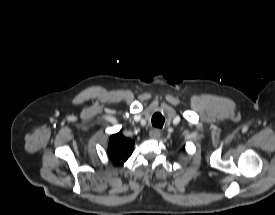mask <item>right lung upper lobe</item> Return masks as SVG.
<instances>
[{"mask_svg":"<svg viewBox=\"0 0 275 215\" xmlns=\"http://www.w3.org/2000/svg\"><path fill=\"white\" fill-rule=\"evenodd\" d=\"M133 147V140L125 138L121 133L113 134L108 145L109 156L115 163H123L132 154Z\"/></svg>","mask_w":275,"mask_h":215,"instance_id":"cb5924a9","label":"right lung upper lobe"}]
</instances>
